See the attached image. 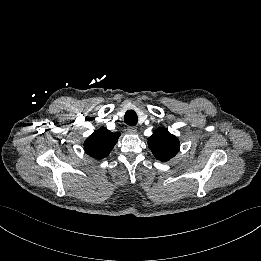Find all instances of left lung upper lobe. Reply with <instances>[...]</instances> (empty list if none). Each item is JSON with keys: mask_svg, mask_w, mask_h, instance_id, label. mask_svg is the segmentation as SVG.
Returning a JSON list of instances; mask_svg holds the SVG:
<instances>
[{"mask_svg": "<svg viewBox=\"0 0 261 261\" xmlns=\"http://www.w3.org/2000/svg\"><path fill=\"white\" fill-rule=\"evenodd\" d=\"M153 155L163 162L173 158L179 151V140L165 128L156 129L148 138Z\"/></svg>", "mask_w": 261, "mask_h": 261, "instance_id": "left-lung-upper-lobe-1", "label": "left lung upper lobe"}]
</instances>
